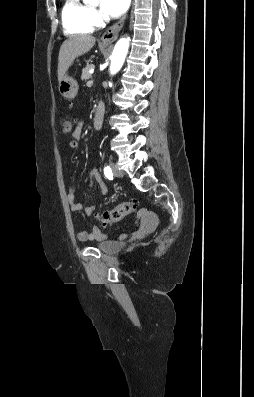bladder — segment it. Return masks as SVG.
Segmentation results:
<instances>
[{"label": "bladder", "mask_w": 254, "mask_h": 397, "mask_svg": "<svg viewBox=\"0 0 254 397\" xmlns=\"http://www.w3.org/2000/svg\"><path fill=\"white\" fill-rule=\"evenodd\" d=\"M97 248L105 254H115L117 252H119L122 248V244L118 241H114V240H105L100 242L97 245Z\"/></svg>", "instance_id": "bladder-1"}]
</instances>
